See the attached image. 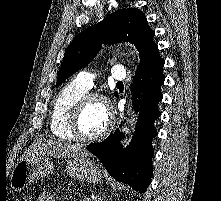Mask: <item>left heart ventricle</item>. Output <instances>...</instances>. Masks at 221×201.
Returning a JSON list of instances; mask_svg holds the SVG:
<instances>
[{
	"instance_id": "1",
	"label": "left heart ventricle",
	"mask_w": 221,
	"mask_h": 201,
	"mask_svg": "<svg viewBox=\"0 0 221 201\" xmlns=\"http://www.w3.org/2000/svg\"><path fill=\"white\" fill-rule=\"evenodd\" d=\"M108 120V113L104 104L100 101H91L81 116L80 130L87 136L96 135L105 129Z\"/></svg>"
}]
</instances>
